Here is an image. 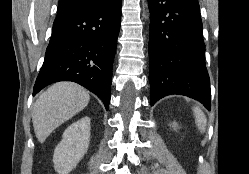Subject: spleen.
Here are the masks:
<instances>
[{
    "label": "spleen",
    "mask_w": 249,
    "mask_h": 174,
    "mask_svg": "<svg viewBox=\"0 0 249 174\" xmlns=\"http://www.w3.org/2000/svg\"><path fill=\"white\" fill-rule=\"evenodd\" d=\"M193 113H194V117H195V123H196L198 129L200 130V132L203 133L206 129V123H207L206 116L202 112V110L198 107L193 108Z\"/></svg>",
    "instance_id": "1"
}]
</instances>
